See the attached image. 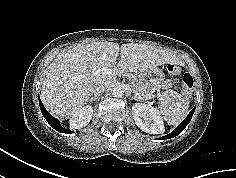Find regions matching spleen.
<instances>
[{
  "label": "spleen",
  "instance_id": "3e777b00",
  "mask_svg": "<svg viewBox=\"0 0 236 178\" xmlns=\"http://www.w3.org/2000/svg\"><path fill=\"white\" fill-rule=\"evenodd\" d=\"M189 103L188 97L173 90H166L159 98L158 112L168 124L177 125L186 117Z\"/></svg>",
  "mask_w": 236,
  "mask_h": 178
}]
</instances>
